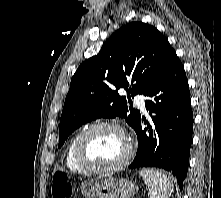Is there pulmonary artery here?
<instances>
[{"mask_svg": "<svg viewBox=\"0 0 221 198\" xmlns=\"http://www.w3.org/2000/svg\"><path fill=\"white\" fill-rule=\"evenodd\" d=\"M134 101L142 111H145V98L142 95H136Z\"/></svg>", "mask_w": 221, "mask_h": 198, "instance_id": "pulmonary-artery-1", "label": "pulmonary artery"}]
</instances>
